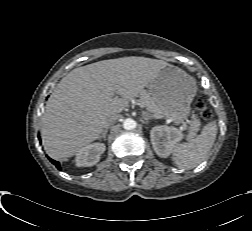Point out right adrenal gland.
<instances>
[{"label": "right adrenal gland", "instance_id": "1", "mask_svg": "<svg viewBox=\"0 0 252 231\" xmlns=\"http://www.w3.org/2000/svg\"><path fill=\"white\" fill-rule=\"evenodd\" d=\"M108 132V127L105 128V130L103 131L102 135L100 136V139L103 138L104 141L106 140V134Z\"/></svg>", "mask_w": 252, "mask_h": 231}]
</instances>
